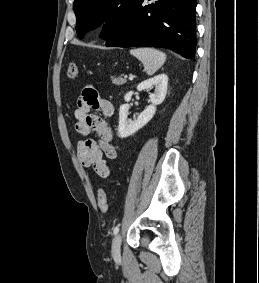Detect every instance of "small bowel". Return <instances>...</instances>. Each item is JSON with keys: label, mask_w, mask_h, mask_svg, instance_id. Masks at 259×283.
Wrapping results in <instances>:
<instances>
[{"label": "small bowel", "mask_w": 259, "mask_h": 283, "mask_svg": "<svg viewBox=\"0 0 259 283\" xmlns=\"http://www.w3.org/2000/svg\"><path fill=\"white\" fill-rule=\"evenodd\" d=\"M92 110H99L103 117L93 114ZM113 112L112 102L101 97L92 86H86L82 90L74 112L75 131L85 137L77 143V158L84 167L92 168L101 178L111 175L104 157L114 160L118 156L112 144L113 131L106 121ZM91 133H95L96 138L88 137Z\"/></svg>", "instance_id": "1"}]
</instances>
